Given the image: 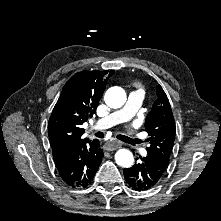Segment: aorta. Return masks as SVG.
I'll list each match as a JSON object with an SVG mask.
<instances>
[{
	"instance_id": "1",
	"label": "aorta",
	"mask_w": 221,
	"mask_h": 221,
	"mask_svg": "<svg viewBox=\"0 0 221 221\" xmlns=\"http://www.w3.org/2000/svg\"><path fill=\"white\" fill-rule=\"evenodd\" d=\"M105 103L110 108H120L126 102V93L121 87L109 88L104 97ZM116 163L124 168H129L133 165V154L127 149H120L115 154Z\"/></svg>"
}]
</instances>
